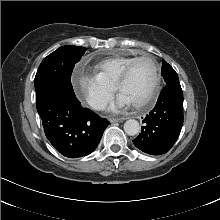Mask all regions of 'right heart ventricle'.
I'll use <instances>...</instances> for the list:
<instances>
[{"instance_id": "e07e8e85", "label": "right heart ventricle", "mask_w": 220, "mask_h": 220, "mask_svg": "<svg viewBox=\"0 0 220 220\" xmlns=\"http://www.w3.org/2000/svg\"><path fill=\"white\" fill-rule=\"evenodd\" d=\"M135 56H116L104 59L93 65L96 76L105 82L116 86L125 67L135 59Z\"/></svg>"}]
</instances>
